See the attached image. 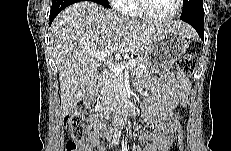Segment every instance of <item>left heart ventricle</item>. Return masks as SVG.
<instances>
[{
	"mask_svg": "<svg viewBox=\"0 0 231 151\" xmlns=\"http://www.w3.org/2000/svg\"><path fill=\"white\" fill-rule=\"evenodd\" d=\"M176 0H145L147 12L155 17H166L176 9Z\"/></svg>",
	"mask_w": 231,
	"mask_h": 151,
	"instance_id": "b2bd125f",
	"label": "left heart ventricle"
}]
</instances>
